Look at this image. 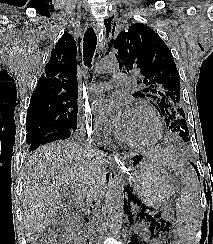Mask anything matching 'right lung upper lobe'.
Masks as SVG:
<instances>
[{
    "label": "right lung upper lobe",
    "instance_id": "obj_1",
    "mask_svg": "<svg viewBox=\"0 0 213 244\" xmlns=\"http://www.w3.org/2000/svg\"><path fill=\"white\" fill-rule=\"evenodd\" d=\"M51 58L31 98L46 96L78 97L77 47L74 38L65 33L51 52ZM79 64V63H78Z\"/></svg>",
    "mask_w": 213,
    "mask_h": 244
}]
</instances>
